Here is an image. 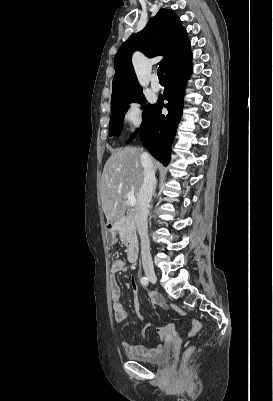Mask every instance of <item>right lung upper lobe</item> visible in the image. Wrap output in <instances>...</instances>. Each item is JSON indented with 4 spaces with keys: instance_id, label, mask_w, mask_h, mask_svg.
<instances>
[{
    "instance_id": "cb5924a9",
    "label": "right lung upper lobe",
    "mask_w": 273,
    "mask_h": 401,
    "mask_svg": "<svg viewBox=\"0 0 273 401\" xmlns=\"http://www.w3.org/2000/svg\"><path fill=\"white\" fill-rule=\"evenodd\" d=\"M137 50L149 58L162 55L164 58L161 63L165 74L176 65L192 58L187 32L179 17L171 10H159L141 32L132 34L121 45L115 56L112 107L132 96L142 94L131 61L133 52Z\"/></svg>"
}]
</instances>
